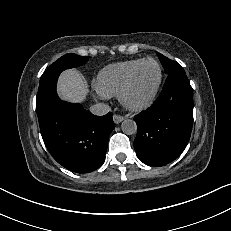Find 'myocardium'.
Masks as SVG:
<instances>
[{"instance_id": "myocardium-1", "label": "myocardium", "mask_w": 231, "mask_h": 231, "mask_svg": "<svg viewBox=\"0 0 231 231\" xmlns=\"http://www.w3.org/2000/svg\"><path fill=\"white\" fill-rule=\"evenodd\" d=\"M148 62H153L158 67V70H159L158 81H157L156 86L154 87L153 91L151 92V94L144 101L139 102V103H134L129 99V94H130V91H131V88H132V85L134 82V78L136 76L137 71L140 69V67L142 65H144L145 63H148ZM162 81H163V69H162L161 64L156 59H153V58L143 59L141 62H139L131 70L124 86L122 87V89L119 93V99H120L122 105L125 108L132 110V111H142V110L147 109L148 107H150L154 103V101H155V99L159 93V90L161 88Z\"/></svg>"}]
</instances>
